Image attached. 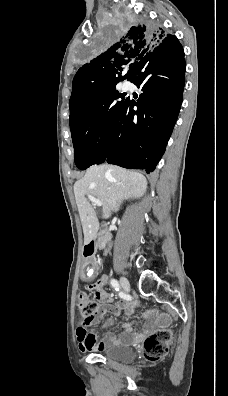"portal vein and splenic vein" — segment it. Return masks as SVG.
I'll return each instance as SVG.
<instances>
[{
	"mask_svg": "<svg viewBox=\"0 0 228 396\" xmlns=\"http://www.w3.org/2000/svg\"><path fill=\"white\" fill-rule=\"evenodd\" d=\"M88 199L94 203V205L96 206H102V202L99 199H96L94 196L92 195H88Z\"/></svg>",
	"mask_w": 228,
	"mask_h": 396,
	"instance_id": "obj_1",
	"label": "portal vein and splenic vein"
}]
</instances>
